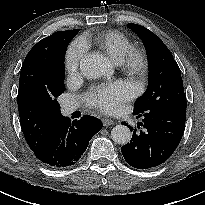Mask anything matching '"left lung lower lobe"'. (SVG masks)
<instances>
[{
  "mask_svg": "<svg viewBox=\"0 0 205 205\" xmlns=\"http://www.w3.org/2000/svg\"><path fill=\"white\" fill-rule=\"evenodd\" d=\"M136 115L142 119L137 124L140 130L128 126L133 135L130 143L121 147L125 161L137 169H148L164 163L183 136L186 100H170Z\"/></svg>",
  "mask_w": 205,
  "mask_h": 205,
  "instance_id": "obj_1",
  "label": "left lung lower lobe"
}]
</instances>
